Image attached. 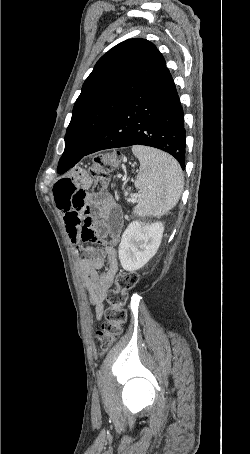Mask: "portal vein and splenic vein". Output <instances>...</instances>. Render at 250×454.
Segmentation results:
<instances>
[{"mask_svg": "<svg viewBox=\"0 0 250 454\" xmlns=\"http://www.w3.org/2000/svg\"><path fill=\"white\" fill-rule=\"evenodd\" d=\"M128 201L131 203H135L137 201V197L133 196V197L129 198Z\"/></svg>", "mask_w": 250, "mask_h": 454, "instance_id": "18ae733b", "label": "portal vein and splenic vein"}]
</instances>
